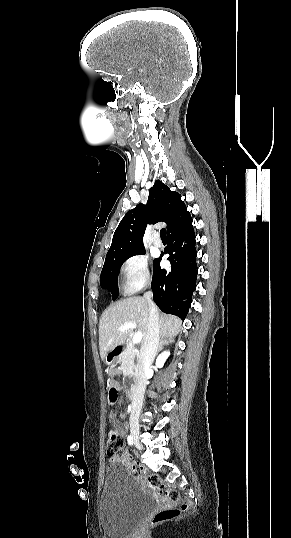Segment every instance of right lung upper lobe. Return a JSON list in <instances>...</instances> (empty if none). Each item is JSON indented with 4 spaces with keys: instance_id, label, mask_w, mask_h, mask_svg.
Wrapping results in <instances>:
<instances>
[{
    "instance_id": "obj_1",
    "label": "right lung upper lobe",
    "mask_w": 291,
    "mask_h": 538,
    "mask_svg": "<svg viewBox=\"0 0 291 538\" xmlns=\"http://www.w3.org/2000/svg\"><path fill=\"white\" fill-rule=\"evenodd\" d=\"M191 220L181 195L172 192L164 183L156 180L149 191L147 204H138L119 223L105 260L144 249L143 236L147 223H167L168 235Z\"/></svg>"
}]
</instances>
